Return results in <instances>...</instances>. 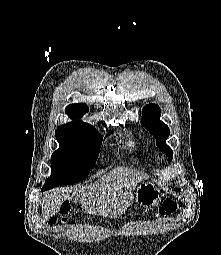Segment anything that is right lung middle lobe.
Masks as SVG:
<instances>
[{"label":"right lung middle lobe","instance_id":"right-lung-middle-lobe-1","mask_svg":"<svg viewBox=\"0 0 221 255\" xmlns=\"http://www.w3.org/2000/svg\"><path fill=\"white\" fill-rule=\"evenodd\" d=\"M56 139L60 147L51 157L53 176L43 187L53 188L86 179L98 158L102 136L97 131L58 128Z\"/></svg>","mask_w":221,"mask_h":255}]
</instances>
